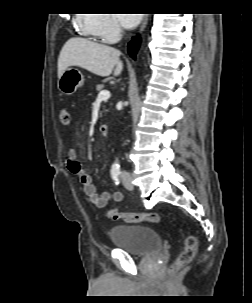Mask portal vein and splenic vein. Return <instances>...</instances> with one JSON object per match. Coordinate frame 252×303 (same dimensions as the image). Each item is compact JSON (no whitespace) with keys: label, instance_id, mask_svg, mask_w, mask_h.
I'll use <instances>...</instances> for the list:
<instances>
[{"label":"portal vein and splenic vein","instance_id":"portal-vein-and-splenic-vein-1","mask_svg":"<svg viewBox=\"0 0 252 303\" xmlns=\"http://www.w3.org/2000/svg\"><path fill=\"white\" fill-rule=\"evenodd\" d=\"M110 96H111L110 91H108V90H102L98 94V99H100V100H108L110 98Z\"/></svg>","mask_w":252,"mask_h":303}]
</instances>
